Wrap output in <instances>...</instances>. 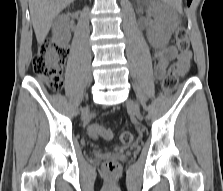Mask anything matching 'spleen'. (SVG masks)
Wrapping results in <instances>:
<instances>
[{
	"label": "spleen",
	"mask_w": 223,
	"mask_h": 191,
	"mask_svg": "<svg viewBox=\"0 0 223 191\" xmlns=\"http://www.w3.org/2000/svg\"><path fill=\"white\" fill-rule=\"evenodd\" d=\"M175 2H176V8L178 9V10H181V4H180V1L181 0H174Z\"/></svg>",
	"instance_id": "spleen-1"
}]
</instances>
